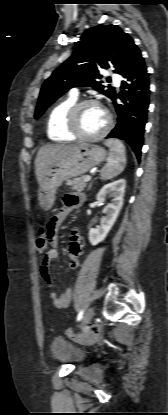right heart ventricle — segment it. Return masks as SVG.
<instances>
[{
  "label": "right heart ventricle",
  "instance_id": "obj_1",
  "mask_svg": "<svg viewBox=\"0 0 168 415\" xmlns=\"http://www.w3.org/2000/svg\"><path fill=\"white\" fill-rule=\"evenodd\" d=\"M77 98L64 99L53 107L47 122V135L55 142H69L76 139L67 128V115Z\"/></svg>",
  "mask_w": 168,
  "mask_h": 415
}]
</instances>
